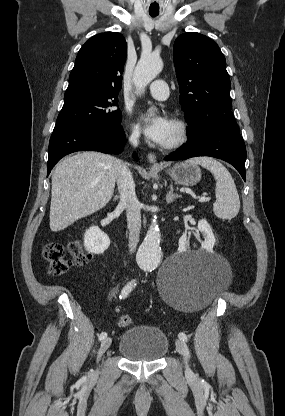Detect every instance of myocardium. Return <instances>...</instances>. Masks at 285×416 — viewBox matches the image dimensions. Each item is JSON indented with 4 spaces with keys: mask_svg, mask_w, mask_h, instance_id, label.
I'll return each instance as SVG.
<instances>
[{
    "mask_svg": "<svg viewBox=\"0 0 285 416\" xmlns=\"http://www.w3.org/2000/svg\"><path fill=\"white\" fill-rule=\"evenodd\" d=\"M172 126L174 129L173 139L163 145L165 150H175L180 148L187 140V129L186 126L179 120H173Z\"/></svg>",
    "mask_w": 285,
    "mask_h": 416,
    "instance_id": "f54148a6",
    "label": "myocardium"
}]
</instances>
